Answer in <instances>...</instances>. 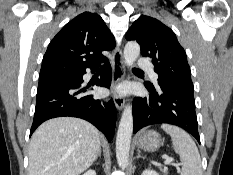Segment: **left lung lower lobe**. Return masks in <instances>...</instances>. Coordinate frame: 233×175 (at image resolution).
Wrapping results in <instances>:
<instances>
[{
	"label": "left lung lower lobe",
	"instance_id": "left-lung-lower-lobe-1",
	"mask_svg": "<svg viewBox=\"0 0 233 175\" xmlns=\"http://www.w3.org/2000/svg\"><path fill=\"white\" fill-rule=\"evenodd\" d=\"M145 86L150 95L135 97L133 100V133L148 125L168 123L185 129L200 143L194 89L176 85H164L155 89L147 83Z\"/></svg>",
	"mask_w": 233,
	"mask_h": 175
}]
</instances>
